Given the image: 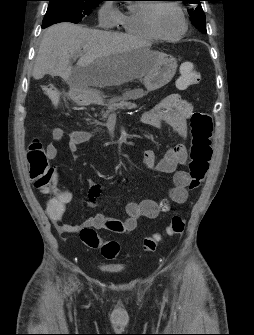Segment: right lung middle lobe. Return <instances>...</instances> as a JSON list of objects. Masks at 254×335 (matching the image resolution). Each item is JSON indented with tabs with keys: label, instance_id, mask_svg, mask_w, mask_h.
Listing matches in <instances>:
<instances>
[{
	"label": "right lung middle lobe",
	"instance_id": "obj_1",
	"mask_svg": "<svg viewBox=\"0 0 254 335\" xmlns=\"http://www.w3.org/2000/svg\"><path fill=\"white\" fill-rule=\"evenodd\" d=\"M49 6L43 19L42 28L52 24L69 21L78 23L90 15L102 0H47Z\"/></svg>",
	"mask_w": 254,
	"mask_h": 335
}]
</instances>
